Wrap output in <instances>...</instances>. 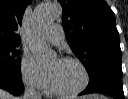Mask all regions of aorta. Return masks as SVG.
Segmentation results:
<instances>
[{"mask_svg":"<svg viewBox=\"0 0 128 99\" xmlns=\"http://www.w3.org/2000/svg\"><path fill=\"white\" fill-rule=\"evenodd\" d=\"M61 11V6L56 2L38 7L34 13V26L36 29L46 26L57 19ZM30 48L37 63L41 66H47L57 59L56 52L36 36L32 38Z\"/></svg>","mask_w":128,"mask_h":99,"instance_id":"1","label":"aorta"}]
</instances>
